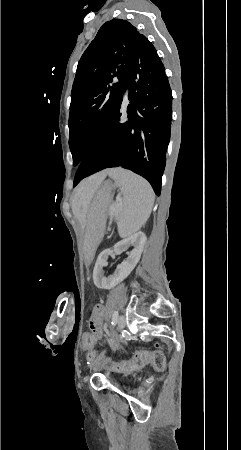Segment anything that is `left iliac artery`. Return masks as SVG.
<instances>
[{
    "label": "left iliac artery",
    "instance_id": "44dca946",
    "mask_svg": "<svg viewBox=\"0 0 241 450\" xmlns=\"http://www.w3.org/2000/svg\"><path fill=\"white\" fill-rule=\"evenodd\" d=\"M117 322H118V312L115 311L111 322L112 326H115Z\"/></svg>",
    "mask_w": 241,
    "mask_h": 450
}]
</instances>
